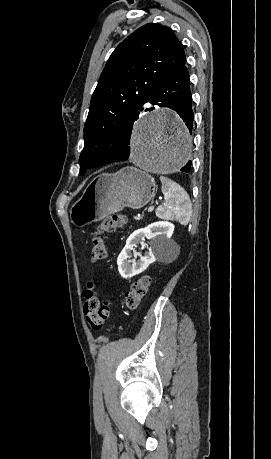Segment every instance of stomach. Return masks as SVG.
Masks as SVG:
<instances>
[{"label": "stomach", "instance_id": "0dacf381", "mask_svg": "<svg viewBox=\"0 0 271 459\" xmlns=\"http://www.w3.org/2000/svg\"><path fill=\"white\" fill-rule=\"evenodd\" d=\"M155 196L152 176L137 168H122L116 174H100L87 186L83 196L73 204L70 220L77 228L104 220L123 208L138 210Z\"/></svg>", "mask_w": 271, "mask_h": 459}]
</instances>
